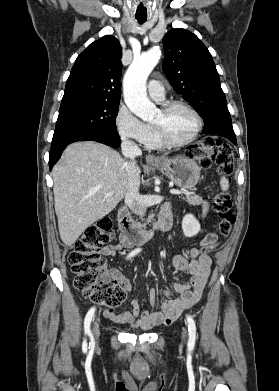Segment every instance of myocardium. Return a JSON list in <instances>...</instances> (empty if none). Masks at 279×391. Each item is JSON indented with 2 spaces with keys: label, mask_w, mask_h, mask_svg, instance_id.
<instances>
[{
  "label": "myocardium",
  "mask_w": 279,
  "mask_h": 391,
  "mask_svg": "<svg viewBox=\"0 0 279 391\" xmlns=\"http://www.w3.org/2000/svg\"><path fill=\"white\" fill-rule=\"evenodd\" d=\"M175 107H184L187 110H189L196 119V128L193 134L188 139L177 142L169 138L162 123H153V128L155 130L156 136L159 142L161 143V145L164 147L180 148L192 143L198 137L203 127V119L200 113L191 104H189L186 101L172 100V101L165 102L164 104H162L160 110L163 114H167Z\"/></svg>",
  "instance_id": "obj_1"
}]
</instances>
